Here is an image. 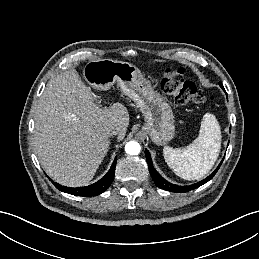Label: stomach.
<instances>
[{"mask_svg":"<svg viewBox=\"0 0 259 259\" xmlns=\"http://www.w3.org/2000/svg\"><path fill=\"white\" fill-rule=\"evenodd\" d=\"M83 74L97 89L106 90L117 82L121 91L139 107L145 118L143 131L155 144H165L174 137V115L170 105L154 91L136 66L112 59L91 60L85 65Z\"/></svg>","mask_w":259,"mask_h":259,"instance_id":"0dacf381","label":"stomach"}]
</instances>
